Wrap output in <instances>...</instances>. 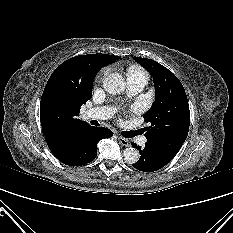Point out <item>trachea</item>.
<instances>
[{"mask_svg": "<svg viewBox=\"0 0 233 233\" xmlns=\"http://www.w3.org/2000/svg\"><path fill=\"white\" fill-rule=\"evenodd\" d=\"M138 134H139V131H130V132L124 133L123 136L126 138H132Z\"/></svg>", "mask_w": 233, "mask_h": 233, "instance_id": "3493384b", "label": "trachea"}]
</instances>
